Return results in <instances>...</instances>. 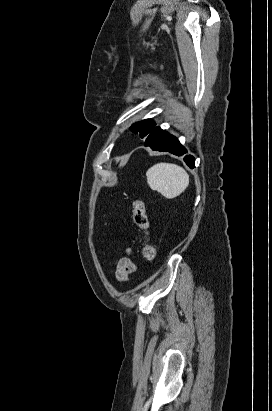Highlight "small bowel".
<instances>
[{"label":"small bowel","mask_w":272,"mask_h":411,"mask_svg":"<svg viewBox=\"0 0 272 411\" xmlns=\"http://www.w3.org/2000/svg\"><path fill=\"white\" fill-rule=\"evenodd\" d=\"M126 256L119 259L116 266V278L119 282L128 281L130 275L136 272L137 266L132 259V249L126 248Z\"/></svg>","instance_id":"small-bowel-1"}]
</instances>
